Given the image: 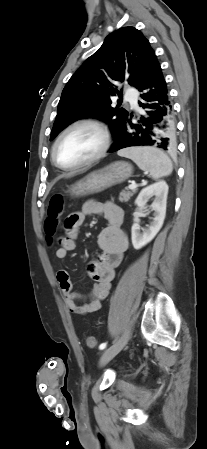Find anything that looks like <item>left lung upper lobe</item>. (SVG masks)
<instances>
[{"label": "left lung upper lobe", "mask_w": 207, "mask_h": 449, "mask_svg": "<svg viewBox=\"0 0 207 449\" xmlns=\"http://www.w3.org/2000/svg\"><path fill=\"white\" fill-rule=\"evenodd\" d=\"M156 61L148 39L136 28L123 27L108 35L63 89L50 140L68 124L87 117L109 124L116 138L129 115L124 108L111 107V98L122 94L117 83L127 79L139 88Z\"/></svg>", "instance_id": "obj_1"}]
</instances>
